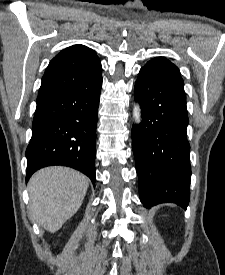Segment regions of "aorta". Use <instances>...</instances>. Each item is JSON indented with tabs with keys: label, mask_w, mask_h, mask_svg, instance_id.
<instances>
[{
	"label": "aorta",
	"mask_w": 225,
	"mask_h": 275,
	"mask_svg": "<svg viewBox=\"0 0 225 275\" xmlns=\"http://www.w3.org/2000/svg\"><path fill=\"white\" fill-rule=\"evenodd\" d=\"M134 120L136 123L141 122V113H140V108L138 105L134 107V112H133Z\"/></svg>",
	"instance_id": "obj_1"
}]
</instances>
